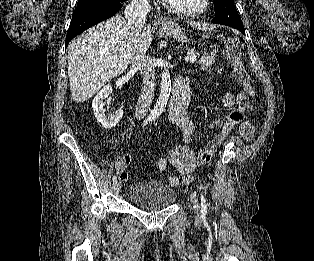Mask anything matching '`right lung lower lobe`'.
<instances>
[{"mask_svg": "<svg viewBox=\"0 0 314 261\" xmlns=\"http://www.w3.org/2000/svg\"><path fill=\"white\" fill-rule=\"evenodd\" d=\"M125 1L127 0H109L77 10L72 16V21L67 32L66 47L72 38L78 34L115 15Z\"/></svg>", "mask_w": 314, "mask_h": 261, "instance_id": "98d812e1", "label": "right lung lower lobe"}]
</instances>
